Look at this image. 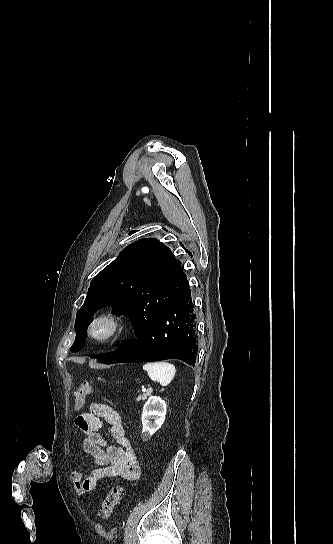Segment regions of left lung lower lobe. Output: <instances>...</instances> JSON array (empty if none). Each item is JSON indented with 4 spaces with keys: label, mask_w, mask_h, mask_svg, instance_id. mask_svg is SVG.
<instances>
[{
    "label": "left lung lower lobe",
    "mask_w": 333,
    "mask_h": 544,
    "mask_svg": "<svg viewBox=\"0 0 333 544\" xmlns=\"http://www.w3.org/2000/svg\"><path fill=\"white\" fill-rule=\"evenodd\" d=\"M189 285L155 318L134 326L136 339L128 340L119 354L96 355L104 364L180 359L195 364L198 351L196 314Z\"/></svg>",
    "instance_id": "1"
}]
</instances>
